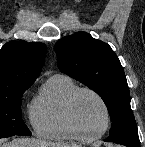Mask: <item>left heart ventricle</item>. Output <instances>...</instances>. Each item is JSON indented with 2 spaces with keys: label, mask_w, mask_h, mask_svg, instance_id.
I'll return each mask as SVG.
<instances>
[{
  "label": "left heart ventricle",
  "mask_w": 145,
  "mask_h": 147,
  "mask_svg": "<svg viewBox=\"0 0 145 147\" xmlns=\"http://www.w3.org/2000/svg\"><path fill=\"white\" fill-rule=\"evenodd\" d=\"M75 113L83 129L90 134L100 132L106 122L100 102L91 94L81 93L75 102Z\"/></svg>",
  "instance_id": "1"
}]
</instances>
